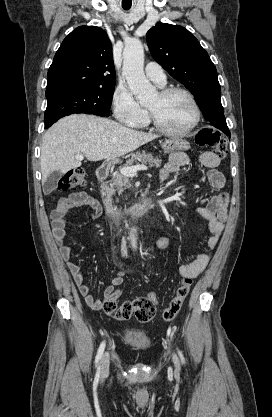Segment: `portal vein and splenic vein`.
I'll list each match as a JSON object with an SVG mask.
<instances>
[{
    "instance_id": "portal-vein-and-splenic-vein-1",
    "label": "portal vein and splenic vein",
    "mask_w": 272,
    "mask_h": 417,
    "mask_svg": "<svg viewBox=\"0 0 272 417\" xmlns=\"http://www.w3.org/2000/svg\"><path fill=\"white\" fill-rule=\"evenodd\" d=\"M75 159L77 160H83V155L82 154H76L75 155ZM147 166L145 165H136V166H131V167H123L120 172L122 175L124 176H134L136 175L137 171L139 170H147Z\"/></svg>"
}]
</instances>
